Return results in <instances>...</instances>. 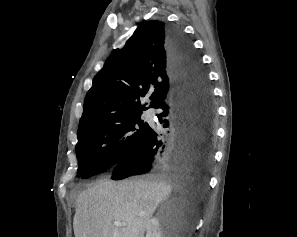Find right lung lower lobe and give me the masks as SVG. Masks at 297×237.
I'll return each instance as SVG.
<instances>
[{
    "instance_id": "1",
    "label": "right lung lower lobe",
    "mask_w": 297,
    "mask_h": 237,
    "mask_svg": "<svg viewBox=\"0 0 297 237\" xmlns=\"http://www.w3.org/2000/svg\"><path fill=\"white\" fill-rule=\"evenodd\" d=\"M167 46L174 90L158 106L167 128H151L146 138L115 166L111 179L147 173L209 172L213 159L215 107L212 90L199 56L179 27L168 26Z\"/></svg>"
}]
</instances>
